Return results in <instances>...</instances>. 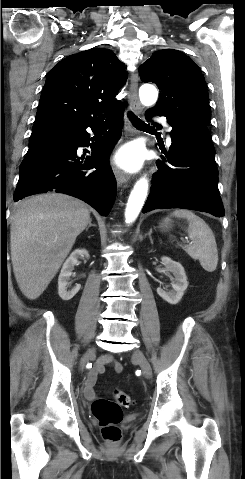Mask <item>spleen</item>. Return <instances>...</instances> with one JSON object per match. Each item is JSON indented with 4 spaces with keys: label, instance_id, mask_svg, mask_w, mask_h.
I'll use <instances>...</instances> for the list:
<instances>
[{
    "label": "spleen",
    "instance_id": "spleen-1",
    "mask_svg": "<svg viewBox=\"0 0 245 479\" xmlns=\"http://www.w3.org/2000/svg\"><path fill=\"white\" fill-rule=\"evenodd\" d=\"M171 216L186 219L187 233L192 245H185L183 249L194 260H199L204 270L213 272L218 264V250L215 236L206 222L185 209L174 210Z\"/></svg>",
    "mask_w": 245,
    "mask_h": 479
}]
</instances>
